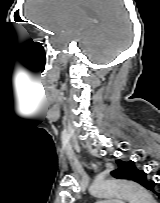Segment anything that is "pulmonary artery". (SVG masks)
Masks as SVG:
<instances>
[{
    "mask_svg": "<svg viewBox=\"0 0 160 203\" xmlns=\"http://www.w3.org/2000/svg\"><path fill=\"white\" fill-rule=\"evenodd\" d=\"M97 203H124V202L122 200L115 199L111 201H99Z\"/></svg>",
    "mask_w": 160,
    "mask_h": 203,
    "instance_id": "1",
    "label": "pulmonary artery"
}]
</instances>
